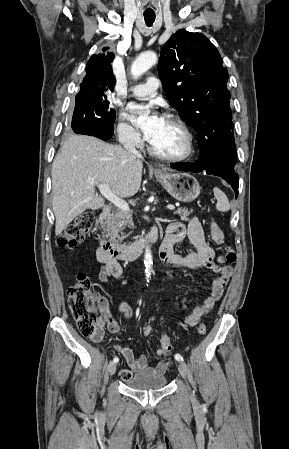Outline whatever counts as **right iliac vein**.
Masks as SVG:
<instances>
[{"label": "right iliac vein", "instance_id": "obj_1", "mask_svg": "<svg viewBox=\"0 0 289 449\" xmlns=\"http://www.w3.org/2000/svg\"><path fill=\"white\" fill-rule=\"evenodd\" d=\"M108 372L110 375H114V373L116 372V364L114 362L109 363Z\"/></svg>", "mask_w": 289, "mask_h": 449}]
</instances>
